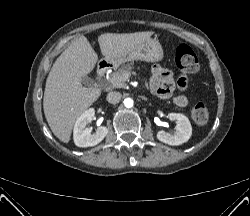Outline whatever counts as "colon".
<instances>
[{
	"label": "colon",
	"instance_id": "obj_1",
	"mask_svg": "<svg viewBox=\"0 0 250 216\" xmlns=\"http://www.w3.org/2000/svg\"><path fill=\"white\" fill-rule=\"evenodd\" d=\"M175 61L177 67L184 73H195L199 69L198 58L192 48L187 45L178 46ZM191 116L198 125H204L209 120V112L202 103H198L192 108Z\"/></svg>",
	"mask_w": 250,
	"mask_h": 216
}]
</instances>
